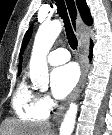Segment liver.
Segmentation results:
<instances>
[{"instance_id": "obj_1", "label": "liver", "mask_w": 112, "mask_h": 135, "mask_svg": "<svg viewBox=\"0 0 112 135\" xmlns=\"http://www.w3.org/2000/svg\"><path fill=\"white\" fill-rule=\"evenodd\" d=\"M3 126L2 135H53L49 123L28 124L16 119H6Z\"/></svg>"}]
</instances>
